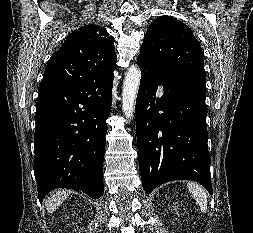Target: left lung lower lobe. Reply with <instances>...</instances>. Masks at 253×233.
Wrapping results in <instances>:
<instances>
[{
    "mask_svg": "<svg viewBox=\"0 0 253 233\" xmlns=\"http://www.w3.org/2000/svg\"><path fill=\"white\" fill-rule=\"evenodd\" d=\"M135 117L143 189L172 180H193L210 194L206 86L199 78L180 83L162 78L141 55ZM159 86H163V89Z\"/></svg>",
    "mask_w": 253,
    "mask_h": 233,
    "instance_id": "obj_1",
    "label": "left lung lower lobe"
}]
</instances>
